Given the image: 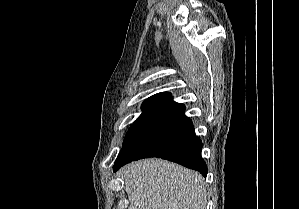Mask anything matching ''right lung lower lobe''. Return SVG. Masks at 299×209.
Returning a JSON list of instances; mask_svg holds the SVG:
<instances>
[{
	"mask_svg": "<svg viewBox=\"0 0 299 209\" xmlns=\"http://www.w3.org/2000/svg\"><path fill=\"white\" fill-rule=\"evenodd\" d=\"M185 106L172 98L160 104L140 130L125 144L117 156L113 170L138 159L160 157L207 175L201 156L202 142L195 135Z\"/></svg>",
	"mask_w": 299,
	"mask_h": 209,
	"instance_id": "obj_1",
	"label": "right lung lower lobe"
}]
</instances>
